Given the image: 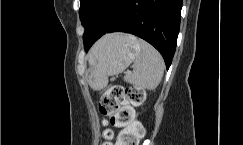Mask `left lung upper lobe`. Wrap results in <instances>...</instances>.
I'll return each instance as SVG.
<instances>
[{"mask_svg":"<svg viewBox=\"0 0 243 145\" xmlns=\"http://www.w3.org/2000/svg\"><path fill=\"white\" fill-rule=\"evenodd\" d=\"M124 2L125 0H80L79 16L82 25L85 28L89 22L96 20L104 24L111 22Z\"/></svg>","mask_w":243,"mask_h":145,"instance_id":"5c2ea615","label":"left lung upper lobe"}]
</instances>
